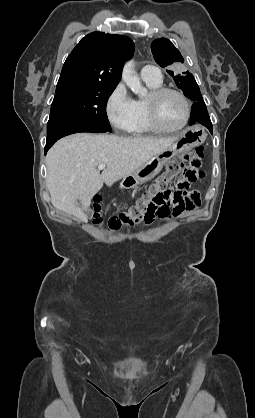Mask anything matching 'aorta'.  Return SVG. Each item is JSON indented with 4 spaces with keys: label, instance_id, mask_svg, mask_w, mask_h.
Instances as JSON below:
<instances>
[{
    "label": "aorta",
    "instance_id": "aorta-1",
    "mask_svg": "<svg viewBox=\"0 0 255 418\" xmlns=\"http://www.w3.org/2000/svg\"><path fill=\"white\" fill-rule=\"evenodd\" d=\"M122 80L135 94H138L141 97L147 94L146 88L142 86L139 77L135 73L133 61H127L124 64L122 70Z\"/></svg>",
    "mask_w": 255,
    "mask_h": 418
}]
</instances>
